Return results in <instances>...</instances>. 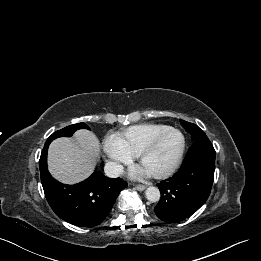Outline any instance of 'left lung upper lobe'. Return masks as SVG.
Segmentation results:
<instances>
[{"label":"left lung upper lobe","instance_id":"5c2ea615","mask_svg":"<svg viewBox=\"0 0 261 261\" xmlns=\"http://www.w3.org/2000/svg\"><path fill=\"white\" fill-rule=\"evenodd\" d=\"M185 130L191 134L192 140L195 141L198 138L205 136L206 134L195 124L180 120Z\"/></svg>","mask_w":261,"mask_h":261}]
</instances>
